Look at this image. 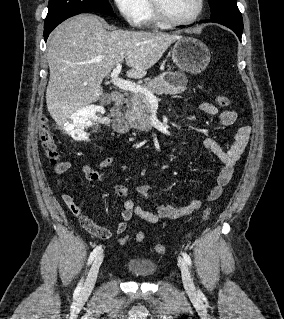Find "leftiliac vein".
Instances as JSON below:
<instances>
[{"label":"left iliac vein","mask_w":284,"mask_h":319,"mask_svg":"<svg viewBox=\"0 0 284 319\" xmlns=\"http://www.w3.org/2000/svg\"><path fill=\"white\" fill-rule=\"evenodd\" d=\"M178 265L180 267L181 270V275H182V281H183V285L184 288L186 289V291L190 294H194L195 293V286L188 268V265L186 263V261L179 257L178 258Z\"/></svg>","instance_id":"obj_1"}]
</instances>
